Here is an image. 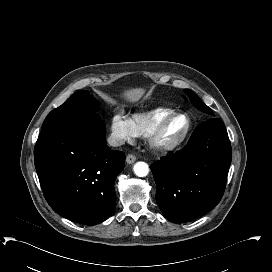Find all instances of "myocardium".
Returning <instances> with one entry per match:
<instances>
[{
	"mask_svg": "<svg viewBox=\"0 0 272 272\" xmlns=\"http://www.w3.org/2000/svg\"><path fill=\"white\" fill-rule=\"evenodd\" d=\"M177 117H184L186 119L187 126L184 133L174 142H171L168 144L162 143L161 136L165 132L169 123ZM191 129H192L191 119L185 113L174 112L168 115L167 117H165L153 130H151L147 134L149 145L154 151L159 153H168V152L174 151L175 149L179 148L187 140L191 132Z\"/></svg>",
	"mask_w": 272,
	"mask_h": 272,
	"instance_id": "1",
	"label": "myocardium"
}]
</instances>
